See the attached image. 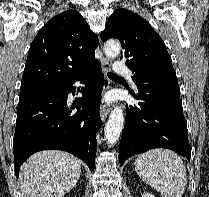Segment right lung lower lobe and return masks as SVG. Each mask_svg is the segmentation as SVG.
<instances>
[{"mask_svg":"<svg viewBox=\"0 0 209 197\" xmlns=\"http://www.w3.org/2000/svg\"><path fill=\"white\" fill-rule=\"evenodd\" d=\"M77 81L86 87L81 90L82 97L68 107V94H75L73 84ZM103 82L97 61L54 89L19 99L13 141L17 177L20 166L30 155L48 149L67 151L94 170Z\"/></svg>","mask_w":209,"mask_h":197,"instance_id":"right-lung-lower-lobe-1","label":"right lung lower lobe"}]
</instances>
